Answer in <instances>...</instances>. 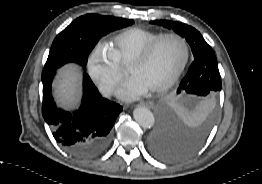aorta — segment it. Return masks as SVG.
Here are the masks:
<instances>
[{"instance_id": "762f6f07", "label": "aorta", "mask_w": 262, "mask_h": 184, "mask_svg": "<svg viewBox=\"0 0 262 184\" xmlns=\"http://www.w3.org/2000/svg\"><path fill=\"white\" fill-rule=\"evenodd\" d=\"M133 116L135 121L143 128L153 127L155 118L153 113L146 107L139 106L134 109Z\"/></svg>"}]
</instances>
